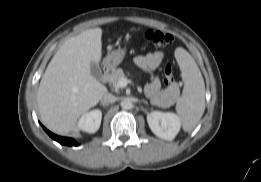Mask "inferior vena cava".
<instances>
[{
    "instance_id": "602c4592",
    "label": "inferior vena cava",
    "mask_w": 261,
    "mask_h": 182,
    "mask_svg": "<svg viewBox=\"0 0 261 182\" xmlns=\"http://www.w3.org/2000/svg\"><path fill=\"white\" fill-rule=\"evenodd\" d=\"M117 100V98L110 94V93H106L103 95V97L101 98V102L108 105L110 103H114Z\"/></svg>"
}]
</instances>
